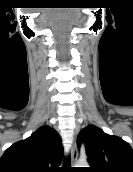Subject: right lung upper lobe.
I'll return each mask as SVG.
<instances>
[{"label": "right lung upper lobe", "mask_w": 133, "mask_h": 172, "mask_svg": "<svg viewBox=\"0 0 133 172\" xmlns=\"http://www.w3.org/2000/svg\"><path fill=\"white\" fill-rule=\"evenodd\" d=\"M62 158L59 135L53 128L42 126L4 152L0 158V172H58Z\"/></svg>", "instance_id": "1"}]
</instances>
